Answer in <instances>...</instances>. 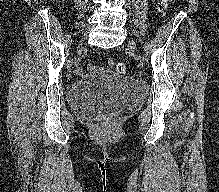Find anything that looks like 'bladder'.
Segmentation results:
<instances>
[{
  "instance_id": "bladder-1",
  "label": "bladder",
  "mask_w": 219,
  "mask_h": 192,
  "mask_svg": "<svg viewBox=\"0 0 219 192\" xmlns=\"http://www.w3.org/2000/svg\"><path fill=\"white\" fill-rule=\"evenodd\" d=\"M145 86L113 73L94 80L81 79L67 91L69 107L89 119H106L139 103Z\"/></svg>"
}]
</instances>
